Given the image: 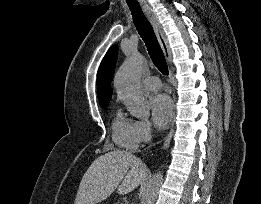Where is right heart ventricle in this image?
I'll return each instance as SVG.
<instances>
[{"label": "right heart ventricle", "instance_id": "right-heart-ventricle-1", "mask_svg": "<svg viewBox=\"0 0 261 204\" xmlns=\"http://www.w3.org/2000/svg\"><path fill=\"white\" fill-rule=\"evenodd\" d=\"M112 138L114 142L125 149L133 150L138 146L135 136V121L117 111L112 122Z\"/></svg>", "mask_w": 261, "mask_h": 204}]
</instances>
